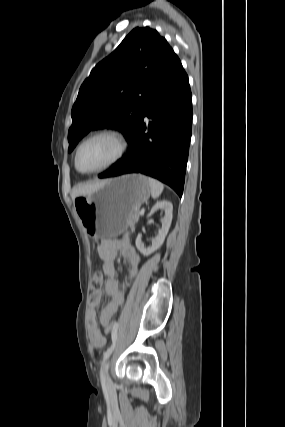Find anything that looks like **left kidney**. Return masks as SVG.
<instances>
[{
    "label": "left kidney",
    "instance_id": "obj_1",
    "mask_svg": "<svg viewBox=\"0 0 285 427\" xmlns=\"http://www.w3.org/2000/svg\"><path fill=\"white\" fill-rule=\"evenodd\" d=\"M159 209H162L165 211V217L162 220V226L158 231L157 237L152 241V245L146 248L144 246V243L142 242L140 234L136 238V247L144 256L151 255L163 244L172 222L173 205L171 202L166 200L157 202L155 206H153V208L151 209L148 217L151 216L154 212H156Z\"/></svg>",
    "mask_w": 285,
    "mask_h": 427
}]
</instances>
